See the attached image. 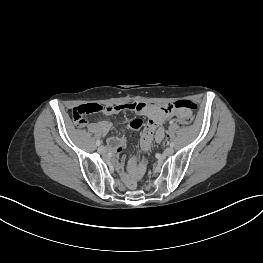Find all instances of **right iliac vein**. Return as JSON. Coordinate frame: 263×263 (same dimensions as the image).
<instances>
[{
  "mask_svg": "<svg viewBox=\"0 0 263 263\" xmlns=\"http://www.w3.org/2000/svg\"><path fill=\"white\" fill-rule=\"evenodd\" d=\"M98 152H99L100 154H105V153H106L105 147H104V146H99V147H98Z\"/></svg>",
  "mask_w": 263,
  "mask_h": 263,
  "instance_id": "right-iliac-vein-1",
  "label": "right iliac vein"
}]
</instances>
